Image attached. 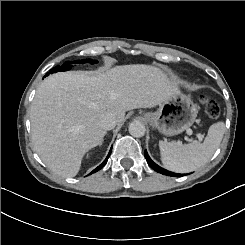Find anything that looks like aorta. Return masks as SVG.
Masks as SVG:
<instances>
[{
  "label": "aorta",
  "mask_w": 245,
  "mask_h": 245,
  "mask_svg": "<svg viewBox=\"0 0 245 245\" xmlns=\"http://www.w3.org/2000/svg\"><path fill=\"white\" fill-rule=\"evenodd\" d=\"M128 130L133 137L138 138L143 137L146 131L144 124L140 121H132L129 124Z\"/></svg>",
  "instance_id": "1"
}]
</instances>
